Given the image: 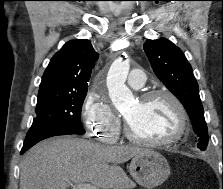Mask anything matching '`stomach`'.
<instances>
[{"label": "stomach", "instance_id": "stomach-1", "mask_svg": "<svg viewBox=\"0 0 223 189\" xmlns=\"http://www.w3.org/2000/svg\"><path fill=\"white\" fill-rule=\"evenodd\" d=\"M129 171L133 179L147 189L161 185L170 175L167 160L152 150H146L133 157Z\"/></svg>", "mask_w": 223, "mask_h": 189}]
</instances>
